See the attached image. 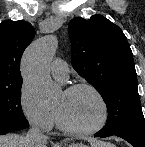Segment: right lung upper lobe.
I'll use <instances>...</instances> for the list:
<instances>
[{
    "instance_id": "cb5924a9",
    "label": "right lung upper lobe",
    "mask_w": 145,
    "mask_h": 147,
    "mask_svg": "<svg viewBox=\"0 0 145 147\" xmlns=\"http://www.w3.org/2000/svg\"><path fill=\"white\" fill-rule=\"evenodd\" d=\"M34 35V27L25 21L5 20L0 24V87L23 82L20 60Z\"/></svg>"
}]
</instances>
